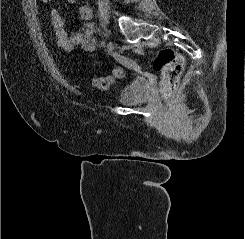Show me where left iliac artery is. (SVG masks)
Here are the masks:
<instances>
[{
    "label": "left iliac artery",
    "mask_w": 245,
    "mask_h": 239,
    "mask_svg": "<svg viewBox=\"0 0 245 239\" xmlns=\"http://www.w3.org/2000/svg\"><path fill=\"white\" fill-rule=\"evenodd\" d=\"M100 45H101V47H105V42L101 41Z\"/></svg>",
    "instance_id": "left-iliac-artery-1"
}]
</instances>
